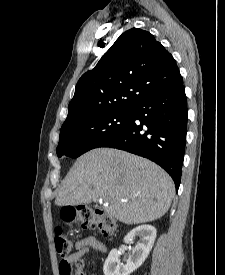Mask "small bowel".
<instances>
[{"label": "small bowel", "instance_id": "obj_1", "mask_svg": "<svg viewBox=\"0 0 225 275\" xmlns=\"http://www.w3.org/2000/svg\"><path fill=\"white\" fill-rule=\"evenodd\" d=\"M91 250L104 254L107 251V247L102 241L96 239L95 237L86 236L76 242L75 252H73L68 259L70 261H77Z\"/></svg>", "mask_w": 225, "mask_h": 275}]
</instances>
